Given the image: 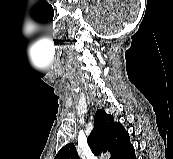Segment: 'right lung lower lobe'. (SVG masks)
Returning <instances> with one entry per match:
<instances>
[{"label":"right lung lower lobe","instance_id":"1","mask_svg":"<svg viewBox=\"0 0 173 159\" xmlns=\"http://www.w3.org/2000/svg\"><path fill=\"white\" fill-rule=\"evenodd\" d=\"M124 159H136V157H135V151L132 150L130 153H128V154L124 157Z\"/></svg>","mask_w":173,"mask_h":159}]
</instances>
